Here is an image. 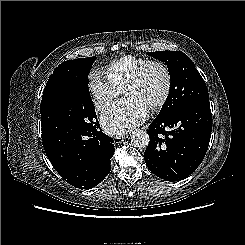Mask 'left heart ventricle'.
Instances as JSON below:
<instances>
[{
    "instance_id": "b2bd125f",
    "label": "left heart ventricle",
    "mask_w": 245,
    "mask_h": 245,
    "mask_svg": "<svg viewBox=\"0 0 245 245\" xmlns=\"http://www.w3.org/2000/svg\"><path fill=\"white\" fill-rule=\"evenodd\" d=\"M165 87L163 70L158 66L150 67L137 85L123 91V95L135 97L150 107L161 97Z\"/></svg>"
}]
</instances>
